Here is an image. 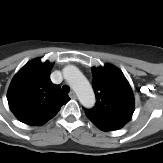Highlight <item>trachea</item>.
I'll use <instances>...</instances> for the list:
<instances>
[{
	"mask_svg": "<svg viewBox=\"0 0 163 163\" xmlns=\"http://www.w3.org/2000/svg\"><path fill=\"white\" fill-rule=\"evenodd\" d=\"M62 91H63L64 93H69V92H70V87H69L68 85H64V86L62 87Z\"/></svg>",
	"mask_w": 163,
	"mask_h": 163,
	"instance_id": "3493384b",
	"label": "trachea"
}]
</instances>
